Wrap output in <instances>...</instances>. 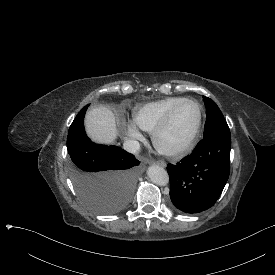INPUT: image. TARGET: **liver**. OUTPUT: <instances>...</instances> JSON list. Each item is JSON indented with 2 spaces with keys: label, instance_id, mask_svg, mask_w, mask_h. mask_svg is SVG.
Segmentation results:
<instances>
[{
  "label": "liver",
  "instance_id": "6515ba94",
  "mask_svg": "<svg viewBox=\"0 0 275 275\" xmlns=\"http://www.w3.org/2000/svg\"><path fill=\"white\" fill-rule=\"evenodd\" d=\"M84 128L90 140L97 144L112 145L119 136L116 115L105 106L93 107L86 112Z\"/></svg>",
  "mask_w": 275,
  "mask_h": 275
}]
</instances>
